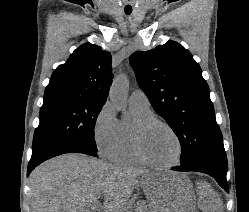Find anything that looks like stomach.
Segmentation results:
<instances>
[{"mask_svg": "<svg viewBox=\"0 0 249 212\" xmlns=\"http://www.w3.org/2000/svg\"><path fill=\"white\" fill-rule=\"evenodd\" d=\"M142 184L145 204H154L150 212H196V196L184 170H153V175H143Z\"/></svg>", "mask_w": 249, "mask_h": 212, "instance_id": "1", "label": "stomach"}]
</instances>
